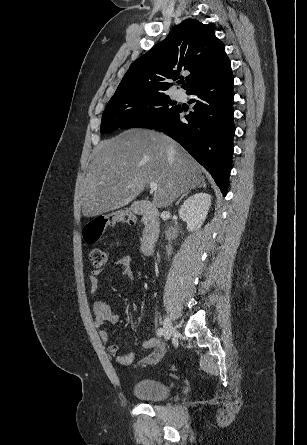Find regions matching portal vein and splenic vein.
Masks as SVG:
<instances>
[{"label":"portal vein and splenic vein","mask_w":307,"mask_h":445,"mask_svg":"<svg viewBox=\"0 0 307 445\" xmlns=\"http://www.w3.org/2000/svg\"><path fill=\"white\" fill-rule=\"evenodd\" d=\"M149 186H150L151 190H157V188H158L157 182H149Z\"/></svg>","instance_id":"obj_1"}]
</instances>
